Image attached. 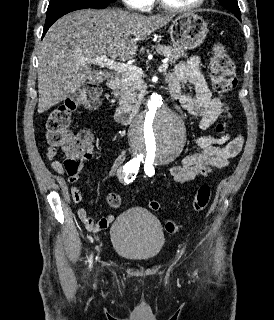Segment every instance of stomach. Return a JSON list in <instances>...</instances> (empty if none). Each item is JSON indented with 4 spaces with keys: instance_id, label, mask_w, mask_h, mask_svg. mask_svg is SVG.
I'll return each mask as SVG.
<instances>
[{
    "instance_id": "0dacf381",
    "label": "stomach",
    "mask_w": 274,
    "mask_h": 320,
    "mask_svg": "<svg viewBox=\"0 0 274 320\" xmlns=\"http://www.w3.org/2000/svg\"><path fill=\"white\" fill-rule=\"evenodd\" d=\"M168 32L173 46L181 50H194L201 46L208 30L202 16L180 14L173 20Z\"/></svg>"
}]
</instances>
